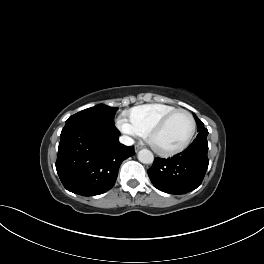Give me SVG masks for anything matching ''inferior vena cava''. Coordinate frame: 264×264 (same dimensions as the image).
<instances>
[{"mask_svg":"<svg viewBox=\"0 0 264 264\" xmlns=\"http://www.w3.org/2000/svg\"><path fill=\"white\" fill-rule=\"evenodd\" d=\"M120 143L126 145V146H131L134 144V140L126 135H123L119 138Z\"/></svg>","mask_w":264,"mask_h":264,"instance_id":"inferior-vena-cava-1","label":"inferior vena cava"}]
</instances>
